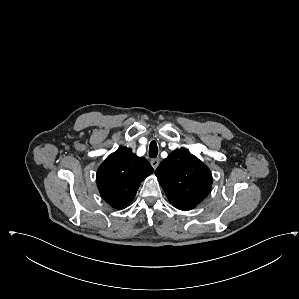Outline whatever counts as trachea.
<instances>
[{"mask_svg":"<svg viewBox=\"0 0 299 299\" xmlns=\"http://www.w3.org/2000/svg\"><path fill=\"white\" fill-rule=\"evenodd\" d=\"M158 155V147L155 141H152L149 146V157L156 158Z\"/></svg>","mask_w":299,"mask_h":299,"instance_id":"1","label":"trachea"}]
</instances>
